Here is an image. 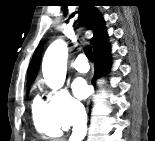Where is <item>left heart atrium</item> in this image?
Masks as SVG:
<instances>
[{
  "label": "left heart atrium",
  "instance_id": "obj_1",
  "mask_svg": "<svg viewBox=\"0 0 155 141\" xmlns=\"http://www.w3.org/2000/svg\"><path fill=\"white\" fill-rule=\"evenodd\" d=\"M73 91L78 98H85L88 95V86L83 79L79 78L73 83Z\"/></svg>",
  "mask_w": 155,
  "mask_h": 141
}]
</instances>
